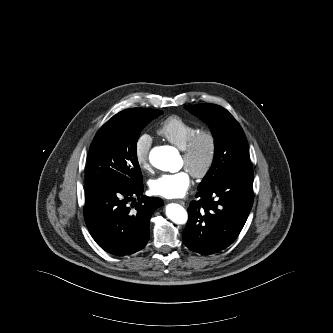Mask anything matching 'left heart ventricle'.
Listing matches in <instances>:
<instances>
[{"label": "left heart ventricle", "mask_w": 333, "mask_h": 333, "mask_svg": "<svg viewBox=\"0 0 333 333\" xmlns=\"http://www.w3.org/2000/svg\"><path fill=\"white\" fill-rule=\"evenodd\" d=\"M204 158H205V145H202L199 148V150H198V152H197V154H196V156H195V158H194V160L191 164V167L193 169H198L202 165V163L204 161ZM182 163H183L184 166H186L185 160L183 158H182Z\"/></svg>", "instance_id": "b2bd125f"}]
</instances>
